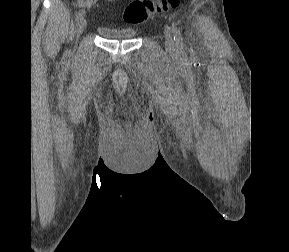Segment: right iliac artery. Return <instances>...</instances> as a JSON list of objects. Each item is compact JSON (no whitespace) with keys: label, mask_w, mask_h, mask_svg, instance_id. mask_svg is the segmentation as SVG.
I'll return each mask as SVG.
<instances>
[{"label":"right iliac artery","mask_w":289,"mask_h":252,"mask_svg":"<svg viewBox=\"0 0 289 252\" xmlns=\"http://www.w3.org/2000/svg\"><path fill=\"white\" fill-rule=\"evenodd\" d=\"M84 15H85V10L84 9L79 10L76 14V20L78 21L79 19L84 17Z\"/></svg>","instance_id":"1"}]
</instances>
